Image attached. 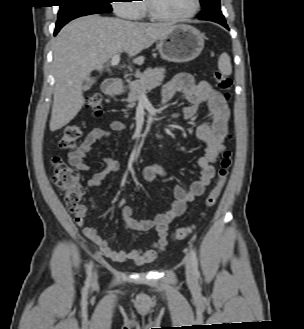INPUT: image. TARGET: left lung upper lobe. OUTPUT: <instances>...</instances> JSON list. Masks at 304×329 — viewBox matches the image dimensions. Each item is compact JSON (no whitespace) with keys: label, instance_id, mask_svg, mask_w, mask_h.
<instances>
[{"label":"left lung upper lobe","instance_id":"obj_1","mask_svg":"<svg viewBox=\"0 0 304 329\" xmlns=\"http://www.w3.org/2000/svg\"><path fill=\"white\" fill-rule=\"evenodd\" d=\"M212 0H200V3L202 5V8L208 5Z\"/></svg>","mask_w":304,"mask_h":329}]
</instances>
